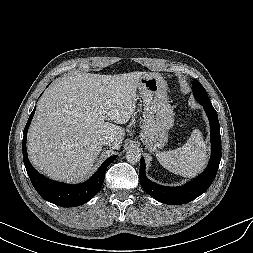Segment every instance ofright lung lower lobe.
<instances>
[{"instance_id": "obj_1", "label": "right lung lower lobe", "mask_w": 253, "mask_h": 253, "mask_svg": "<svg viewBox=\"0 0 253 253\" xmlns=\"http://www.w3.org/2000/svg\"><path fill=\"white\" fill-rule=\"evenodd\" d=\"M35 112V108L29 116L27 124L24 128L23 137V160L27 170V174L34 186L35 190L44 198L55 205L62 207H75L88 202L101 189L107 167L116 159V155L109 157L95 174L86 182L77 185H69L61 182L49 180L39 174L28 160L26 150V136L28 127L31 123Z\"/></svg>"}]
</instances>
